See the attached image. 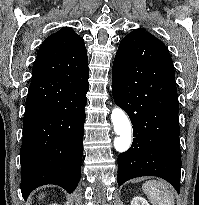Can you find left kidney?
I'll return each mask as SVG.
<instances>
[{
	"mask_svg": "<svg viewBox=\"0 0 199 205\" xmlns=\"http://www.w3.org/2000/svg\"><path fill=\"white\" fill-rule=\"evenodd\" d=\"M131 205H149L147 200L141 196H135L131 202Z\"/></svg>",
	"mask_w": 199,
	"mask_h": 205,
	"instance_id": "1",
	"label": "left kidney"
}]
</instances>
